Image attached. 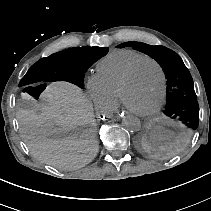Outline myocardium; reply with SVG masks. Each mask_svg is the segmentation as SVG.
Masks as SVG:
<instances>
[{
  "label": "myocardium",
  "instance_id": "f54148a6",
  "mask_svg": "<svg viewBox=\"0 0 211 211\" xmlns=\"http://www.w3.org/2000/svg\"><path fill=\"white\" fill-rule=\"evenodd\" d=\"M145 63H153L160 74V80H161V89H160V97L158 102L156 103V105L150 109L149 111H145V112H141V111H136V110H132L130 108L127 107V105L124 102V91L126 89L127 84L130 82V80L132 79V77L135 75V73L140 69V67L142 65H144ZM165 87H166V75L164 72V69L162 67V65L154 58L151 57H146L144 58L142 61H140L139 63H137L133 68H131L124 76L123 78L120 80L118 86H117V99L119 100V102L124 105V107L132 114L139 116V117H151L154 114H156L159 109L161 108V106L163 105V101H164V96H165Z\"/></svg>",
  "mask_w": 211,
  "mask_h": 211
}]
</instances>
